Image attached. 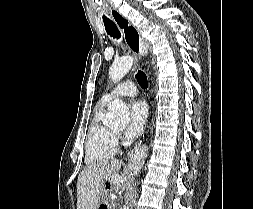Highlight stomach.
Listing matches in <instances>:
<instances>
[{"label": "stomach", "instance_id": "stomach-1", "mask_svg": "<svg viewBox=\"0 0 253 209\" xmlns=\"http://www.w3.org/2000/svg\"><path fill=\"white\" fill-rule=\"evenodd\" d=\"M101 186L103 191H99V202H96L97 209H112L113 202L110 196H112V188L114 187V182L101 181Z\"/></svg>", "mask_w": 253, "mask_h": 209}]
</instances>
